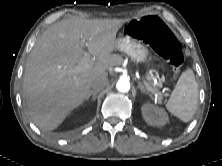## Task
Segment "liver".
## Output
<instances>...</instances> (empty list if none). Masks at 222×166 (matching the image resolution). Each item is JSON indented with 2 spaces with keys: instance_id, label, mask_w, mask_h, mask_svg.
<instances>
[{
  "instance_id": "6515ba94",
  "label": "liver",
  "mask_w": 222,
  "mask_h": 166,
  "mask_svg": "<svg viewBox=\"0 0 222 166\" xmlns=\"http://www.w3.org/2000/svg\"><path fill=\"white\" fill-rule=\"evenodd\" d=\"M127 21L71 18L52 25L37 39L26 64L23 98L41 131L56 129L87 98L93 81L122 63L112 52L117 32ZM84 46L97 58L90 69L77 71Z\"/></svg>"
}]
</instances>
